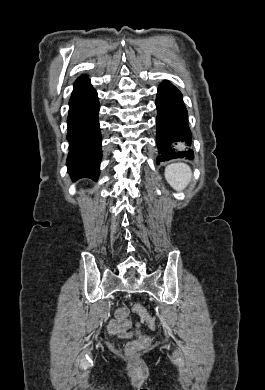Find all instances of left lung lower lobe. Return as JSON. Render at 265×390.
Here are the masks:
<instances>
[{
	"label": "left lung lower lobe",
	"mask_w": 265,
	"mask_h": 390,
	"mask_svg": "<svg viewBox=\"0 0 265 390\" xmlns=\"http://www.w3.org/2000/svg\"><path fill=\"white\" fill-rule=\"evenodd\" d=\"M157 164L176 158L194 159L192 135L181 92L163 81L157 93Z\"/></svg>",
	"instance_id": "left-lung-lower-lobe-1"
}]
</instances>
